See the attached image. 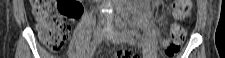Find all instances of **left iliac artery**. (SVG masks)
I'll return each mask as SVG.
<instances>
[{
	"mask_svg": "<svg viewBox=\"0 0 225 58\" xmlns=\"http://www.w3.org/2000/svg\"><path fill=\"white\" fill-rule=\"evenodd\" d=\"M123 33L126 35L130 45H134L135 44V40H134V38H132L130 32H128L126 29H123Z\"/></svg>",
	"mask_w": 225,
	"mask_h": 58,
	"instance_id": "44dca946",
	"label": "left iliac artery"
}]
</instances>
